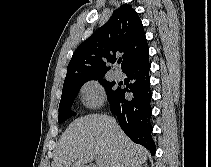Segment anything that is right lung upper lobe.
<instances>
[{
  "instance_id": "cb5924a9",
  "label": "right lung upper lobe",
  "mask_w": 211,
  "mask_h": 167,
  "mask_svg": "<svg viewBox=\"0 0 211 167\" xmlns=\"http://www.w3.org/2000/svg\"><path fill=\"white\" fill-rule=\"evenodd\" d=\"M122 56V71L149 55L142 22L130 5L116 9L109 21L80 44L68 64L64 84L100 77L110 69L116 55Z\"/></svg>"
}]
</instances>
